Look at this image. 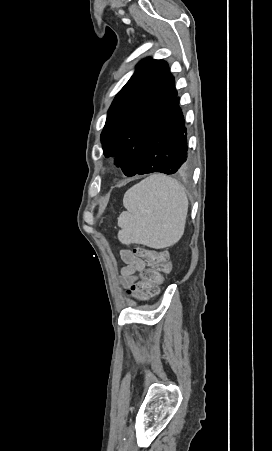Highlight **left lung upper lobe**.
Returning <instances> with one entry per match:
<instances>
[{
  "mask_svg": "<svg viewBox=\"0 0 272 451\" xmlns=\"http://www.w3.org/2000/svg\"><path fill=\"white\" fill-rule=\"evenodd\" d=\"M174 82L165 61L145 59L112 102L101 143L125 175L136 174L159 119L177 95Z\"/></svg>",
  "mask_w": 272,
  "mask_h": 451,
  "instance_id": "left-lung-upper-lobe-1",
  "label": "left lung upper lobe"
}]
</instances>
